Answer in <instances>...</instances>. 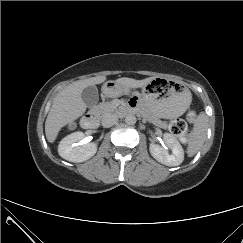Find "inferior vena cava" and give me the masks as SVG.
Segmentation results:
<instances>
[{
  "instance_id": "obj_1",
  "label": "inferior vena cava",
  "mask_w": 243,
  "mask_h": 243,
  "mask_svg": "<svg viewBox=\"0 0 243 243\" xmlns=\"http://www.w3.org/2000/svg\"><path fill=\"white\" fill-rule=\"evenodd\" d=\"M117 122H118L117 115L109 113V114H106L103 116L101 123H102L103 127L108 128V127L113 126Z\"/></svg>"
}]
</instances>
